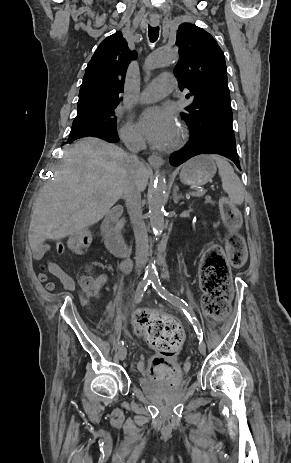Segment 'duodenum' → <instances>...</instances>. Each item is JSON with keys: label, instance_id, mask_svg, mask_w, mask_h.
Masks as SVG:
<instances>
[{"label": "duodenum", "instance_id": "410a0bca", "mask_svg": "<svg viewBox=\"0 0 291 463\" xmlns=\"http://www.w3.org/2000/svg\"><path fill=\"white\" fill-rule=\"evenodd\" d=\"M124 205L117 203L111 206V211L106 215L102 226L101 235L106 247L116 256L123 257L130 253V243L121 238L115 224L120 218Z\"/></svg>", "mask_w": 291, "mask_h": 463}]
</instances>
